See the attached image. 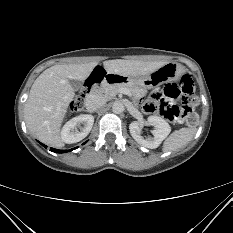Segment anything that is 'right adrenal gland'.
Instances as JSON below:
<instances>
[{
  "instance_id": "2a0ac1e0",
  "label": "right adrenal gland",
  "mask_w": 233,
  "mask_h": 233,
  "mask_svg": "<svg viewBox=\"0 0 233 233\" xmlns=\"http://www.w3.org/2000/svg\"><path fill=\"white\" fill-rule=\"evenodd\" d=\"M85 112L94 113L95 111L84 110Z\"/></svg>"
}]
</instances>
